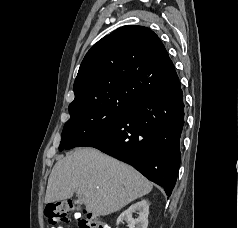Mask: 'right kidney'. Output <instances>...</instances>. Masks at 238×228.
I'll list each match as a JSON object with an SVG mask.
<instances>
[{
    "label": "right kidney",
    "mask_w": 238,
    "mask_h": 228,
    "mask_svg": "<svg viewBox=\"0 0 238 228\" xmlns=\"http://www.w3.org/2000/svg\"><path fill=\"white\" fill-rule=\"evenodd\" d=\"M138 214L137 218H133V213ZM148 215H149V202L147 200H141L131 205L127 210L121 213L117 219V225L126 221L129 228H147L148 227Z\"/></svg>",
    "instance_id": "obj_1"
}]
</instances>
